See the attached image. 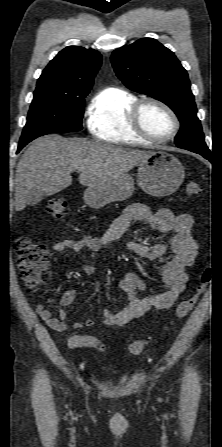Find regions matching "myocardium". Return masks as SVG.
<instances>
[{"instance_id":"myocardium-1","label":"myocardium","mask_w":222,"mask_h":447,"mask_svg":"<svg viewBox=\"0 0 222 447\" xmlns=\"http://www.w3.org/2000/svg\"><path fill=\"white\" fill-rule=\"evenodd\" d=\"M146 104H154V105L160 107L171 118L172 123H173V130L167 137L157 138V137L151 135L150 133H148L146 131V129L143 127V124L141 121V112H142L143 107ZM129 117H130V122H131L133 129L141 137L145 138L146 140H148L150 142H154V143L168 142L169 140L173 139L177 135L179 128H180L179 119H178L176 113L173 111V109L168 104L163 102L162 100L154 98V97H144V98L136 100V102L134 103V105L130 111Z\"/></svg>"}]
</instances>
